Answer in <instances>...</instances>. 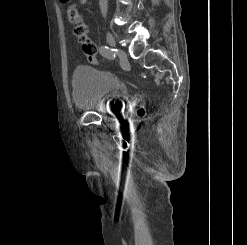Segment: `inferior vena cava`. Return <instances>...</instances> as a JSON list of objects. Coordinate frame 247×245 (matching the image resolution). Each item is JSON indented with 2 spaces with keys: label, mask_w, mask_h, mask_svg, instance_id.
I'll return each mask as SVG.
<instances>
[{
  "label": "inferior vena cava",
  "mask_w": 247,
  "mask_h": 245,
  "mask_svg": "<svg viewBox=\"0 0 247 245\" xmlns=\"http://www.w3.org/2000/svg\"><path fill=\"white\" fill-rule=\"evenodd\" d=\"M99 5H100L102 16L105 18L107 15L108 0H99Z\"/></svg>",
  "instance_id": "inferior-vena-cava-1"
}]
</instances>
